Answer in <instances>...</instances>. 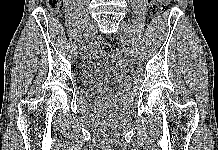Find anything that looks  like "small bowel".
<instances>
[{"instance_id":"small-bowel-1","label":"small bowel","mask_w":218,"mask_h":150,"mask_svg":"<svg viewBox=\"0 0 218 150\" xmlns=\"http://www.w3.org/2000/svg\"><path fill=\"white\" fill-rule=\"evenodd\" d=\"M170 0H165V3H168Z\"/></svg>"}]
</instances>
